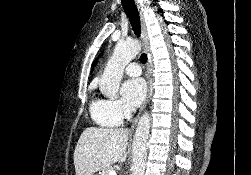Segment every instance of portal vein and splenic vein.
I'll list each match as a JSON object with an SVG mask.
<instances>
[{
    "label": "portal vein and splenic vein",
    "mask_w": 251,
    "mask_h": 175,
    "mask_svg": "<svg viewBox=\"0 0 251 175\" xmlns=\"http://www.w3.org/2000/svg\"><path fill=\"white\" fill-rule=\"evenodd\" d=\"M109 175H117L116 171H113V169H111V171H109Z\"/></svg>",
    "instance_id": "obj_1"
}]
</instances>
